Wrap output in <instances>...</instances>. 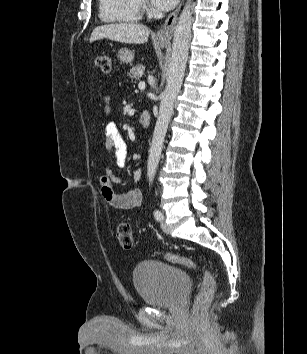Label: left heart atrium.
Instances as JSON below:
<instances>
[{
  "label": "left heart atrium",
  "mask_w": 307,
  "mask_h": 354,
  "mask_svg": "<svg viewBox=\"0 0 307 354\" xmlns=\"http://www.w3.org/2000/svg\"><path fill=\"white\" fill-rule=\"evenodd\" d=\"M151 4L159 10H169L173 8L178 0H150Z\"/></svg>",
  "instance_id": "1"
}]
</instances>
